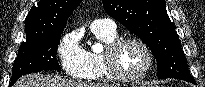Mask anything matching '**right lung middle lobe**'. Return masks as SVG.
Returning a JSON list of instances; mask_svg holds the SVG:
<instances>
[{
  "mask_svg": "<svg viewBox=\"0 0 205 87\" xmlns=\"http://www.w3.org/2000/svg\"><path fill=\"white\" fill-rule=\"evenodd\" d=\"M62 32L26 36L12 69L10 86L22 75L42 70H60L56 53Z\"/></svg>",
  "mask_w": 205,
  "mask_h": 87,
  "instance_id": "obj_1",
  "label": "right lung middle lobe"
}]
</instances>
